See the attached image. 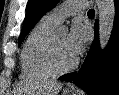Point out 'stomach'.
Wrapping results in <instances>:
<instances>
[{
	"mask_svg": "<svg viewBox=\"0 0 119 95\" xmlns=\"http://www.w3.org/2000/svg\"><path fill=\"white\" fill-rule=\"evenodd\" d=\"M62 95H76V94L71 90H65L63 91Z\"/></svg>",
	"mask_w": 119,
	"mask_h": 95,
	"instance_id": "1",
	"label": "stomach"
}]
</instances>
